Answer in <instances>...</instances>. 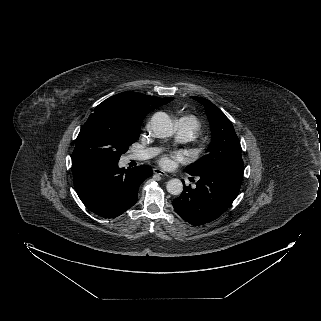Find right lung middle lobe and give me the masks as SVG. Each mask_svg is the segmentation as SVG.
Returning a JSON list of instances; mask_svg holds the SVG:
<instances>
[{"mask_svg": "<svg viewBox=\"0 0 321 321\" xmlns=\"http://www.w3.org/2000/svg\"><path fill=\"white\" fill-rule=\"evenodd\" d=\"M142 121L121 108L99 104L77 136L72 166L118 163L120 156L138 140Z\"/></svg>", "mask_w": 321, "mask_h": 321, "instance_id": "obj_1", "label": "right lung middle lobe"}]
</instances>
